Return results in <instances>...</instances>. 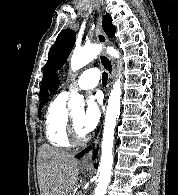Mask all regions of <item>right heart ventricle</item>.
Instances as JSON below:
<instances>
[{"label":"right heart ventricle","instance_id":"obj_1","mask_svg":"<svg viewBox=\"0 0 178 195\" xmlns=\"http://www.w3.org/2000/svg\"><path fill=\"white\" fill-rule=\"evenodd\" d=\"M67 96L60 93L50 103L45 114V135L47 140L57 148H68L72 144L67 136L68 109Z\"/></svg>","mask_w":178,"mask_h":195}]
</instances>
